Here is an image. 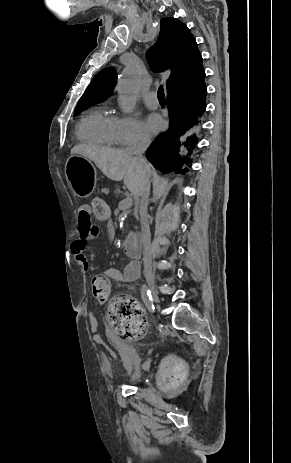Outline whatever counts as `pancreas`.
Segmentation results:
<instances>
[{
	"label": "pancreas",
	"instance_id": "cf45deb5",
	"mask_svg": "<svg viewBox=\"0 0 291 463\" xmlns=\"http://www.w3.org/2000/svg\"><path fill=\"white\" fill-rule=\"evenodd\" d=\"M113 192H114V196H115L116 198L122 197V196H123V192H122V191L120 190V188L117 187V186H115V187L113 188Z\"/></svg>",
	"mask_w": 291,
	"mask_h": 463
}]
</instances>
